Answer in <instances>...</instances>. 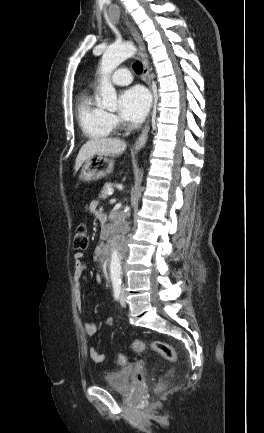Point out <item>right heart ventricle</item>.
Masks as SVG:
<instances>
[{
    "label": "right heart ventricle",
    "instance_id": "e07e8e85",
    "mask_svg": "<svg viewBox=\"0 0 264 433\" xmlns=\"http://www.w3.org/2000/svg\"><path fill=\"white\" fill-rule=\"evenodd\" d=\"M76 112L80 128L87 137L100 139L112 134L109 114L98 105L92 93L84 92L79 96Z\"/></svg>",
    "mask_w": 264,
    "mask_h": 433
}]
</instances>
